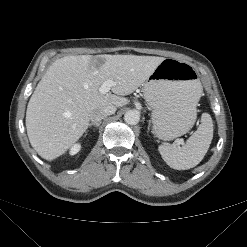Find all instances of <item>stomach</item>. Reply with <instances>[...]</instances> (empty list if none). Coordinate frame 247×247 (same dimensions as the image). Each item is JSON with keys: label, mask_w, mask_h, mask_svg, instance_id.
<instances>
[{"label": "stomach", "mask_w": 247, "mask_h": 247, "mask_svg": "<svg viewBox=\"0 0 247 247\" xmlns=\"http://www.w3.org/2000/svg\"><path fill=\"white\" fill-rule=\"evenodd\" d=\"M194 68L164 59L144 83V98L152 109L153 133L172 140L187 133L196 120L202 86Z\"/></svg>", "instance_id": "1"}]
</instances>
